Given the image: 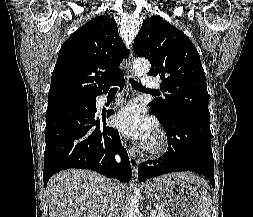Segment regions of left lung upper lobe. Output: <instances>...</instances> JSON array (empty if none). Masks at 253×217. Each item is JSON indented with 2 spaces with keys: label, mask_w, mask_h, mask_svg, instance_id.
I'll use <instances>...</instances> for the list:
<instances>
[{
  "label": "left lung upper lobe",
  "mask_w": 253,
  "mask_h": 217,
  "mask_svg": "<svg viewBox=\"0 0 253 217\" xmlns=\"http://www.w3.org/2000/svg\"><path fill=\"white\" fill-rule=\"evenodd\" d=\"M134 52L151 63L149 75L162 79L165 98L149 106L159 118L177 110L210 115L208 91L200 56L190 39L163 18H147L134 40Z\"/></svg>",
  "instance_id": "left-lung-upper-lobe-1"
}]
</instances>
